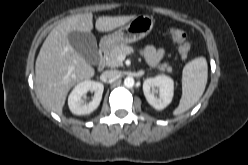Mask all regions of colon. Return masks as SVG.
<instances>
[{
  "mask_svg": "<svg viewBox=\"0 0 248 165\" xmlns=\"http://www.w3.org/2000/svg\"><path fill=\"white\" fill-rule=\"evenodd\" d=\"M172 40L178 44V51L182 58H187L191 51L190 43L186 33L180 29H172L170 32Z\"/></svg>",
  "mask_w": 248,
  "mask_h": 165,
  "instance_id": "colon-1",
  "label": "colon"
}]
</instances>
